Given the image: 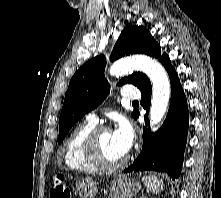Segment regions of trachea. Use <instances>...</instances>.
<instances>
[{
    "instance_id": "1",
    "label": "trachea",
    "mask_w": 221,
    "mask_h": 198,
    "mask_svg": "<svg viewBox=\"0 0 221 198\" xmlns=\"http://www.w3.org/2000/svg\"><path fill=\"white\" fill-rule=\"evenodd\" d=\"M133 104H138V101H134Z\"/></svg>"
}]
</instances>
